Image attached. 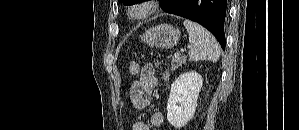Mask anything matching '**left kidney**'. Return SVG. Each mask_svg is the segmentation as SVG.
Returning <instances> with one entry per match:
<instances>
[{"label":"left kidney","instance_id":"left-kidney-1","mask_svg":"<svg viewBox=\"0 0 299 130\" xmlns=\"http://www.w3.org/2000/svg\"><path fill=\"white\" fill-rule=\"evenodd\" d=\"M203 79L196 72L181 74L172 84L167 103V120L181 128L193 117Z\"/></svg>","mask_w":299,"mask_h":130}]
</instances>
